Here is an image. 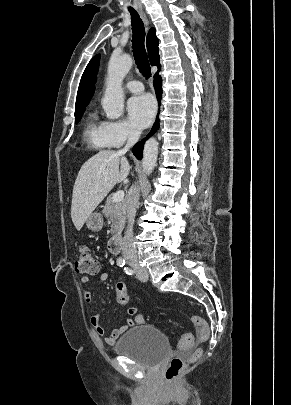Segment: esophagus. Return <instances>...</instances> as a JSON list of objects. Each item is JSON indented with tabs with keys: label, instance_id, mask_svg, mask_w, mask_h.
Wrapping results in <instances>:
<instances>
[{
	"label": "esophagus",
	"instance_id": "obj_1",
	"mask_svg": "<svg viewBox=\"0 0 291 405\" xmlns=\"http://www.w3.org/2000/svg\"><path fill=\"white\" fill-rule=\"evenodd\" d=\"M143 17H144L146 24L148 25L149 24L148 19L144 15H143Z\"/></svg>",
	"mask_w": 291,
	"mask_h": 405
}]
</instances>
